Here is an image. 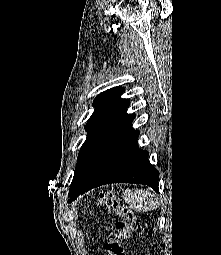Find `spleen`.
I'll return each mask as SVG.
<instances>
[{"mask_svg": "<svg viewBox=\"0 0 221 255\" xmlns=\"http://www.w3.org/2000/svg\"><path fill=\"white\" fill-rule=\"evenodd\" d=\"M123 199L136 212H148L155 210L159 203L155 196L144 190H125Z\"/></svg>", "mask_w": 221, "mask_h": 255, "instance_id": "spleen-1", "label": "spleen"}]
</instances>
